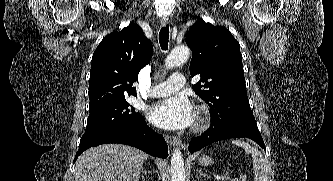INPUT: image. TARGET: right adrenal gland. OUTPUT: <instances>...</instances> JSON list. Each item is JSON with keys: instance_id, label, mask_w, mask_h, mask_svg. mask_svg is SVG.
Segmentation results:
<instances>
[{"instance_id": "2a0ac1e0", "label": "right adrenal gland", "mask_w": 333, "mask_h": 181, "mask_svg": "<svg viewBox=\"0 0 333 181\" xmlns=\"http://www.w3.org/2000/svg\"><path fill=\"white\" fill-rule=\"evenodd\" d=\"M147 174H151L150 170H143L142 169V179H144L145 175H147Z\"/></svg>"}]
</instances>
